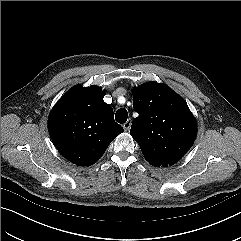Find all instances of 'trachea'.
<instances>
[{
  "label": "trachea",
  "mask_w": 241,
  "mask_h": 241,
  "mask_svg": "<svg viewBox=\"0 0 241 241\" xmlns=\"http://www.w3.org/2000/svg\"><path fill=\"white\" fill-rule=\"evenodd\" d=\"M128 118V112L125 108H120L115 114V119L118 123H125Z\"/></svg>",
  "instance_id": "3493384b"
}]
</instances>
